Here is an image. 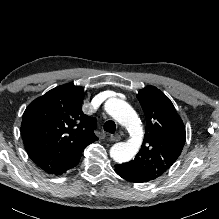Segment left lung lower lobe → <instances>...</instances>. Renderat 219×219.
<instances>
[{
  "mask_svg": "<svg viewBox=\"0 0 219 219\" xmlns=\"http://www.w3.org/2000/svg\"><path fill=\"white\" fill-rule=\"evenodd\" d=\"M115 172L123 179L131 181V182L143 183V182L150 181L144 178L143 176L137 174L136 172L128 169L122 164L115 165Z\"/></svg>",
  "mask_w": 219,
  "mask_h": 219,
  "instance_id": "0a47b994",
  "label": "left lung lower lobe"
}]
</instances>
